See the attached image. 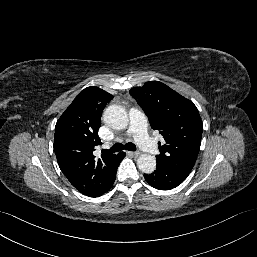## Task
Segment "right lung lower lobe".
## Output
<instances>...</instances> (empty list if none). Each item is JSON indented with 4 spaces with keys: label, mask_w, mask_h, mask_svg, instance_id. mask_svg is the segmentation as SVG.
<instances>
[{
    "label": "right lung lower lobe",
    "mask_w": 257,
    "mask_h": 257,
    "mask_svg": "<svg viewBox=\"0 0 257 257\" xmlns=\"http://www.w3.org/2000/svg\"><path fill=\"white\" fill-rule=\"evenodd\" d=\"M125 157V153L124 152H120L117 154L116 158H115V161H114V164H113V167L111 168V171H110V176H109V179H108V182L106 184V186L103 188V190L95 197H99L101 196L102 194H104L105 192H107L113 185L114 181H115V178H116V172H117V168H118V165L119 163L122 161V159Z\"/></svg>",
    "instance_id": "right-lung-lower-lobe-1"
}]
</instances>
